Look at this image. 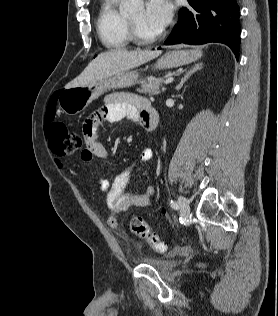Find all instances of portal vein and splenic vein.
Segmentation results:
<instances>
[{
	"label": "portal vein and splenic vein",
	"instance_id": "18ae733b",
	"mask_svg": "<svg viewBox=\"0 0 278 316\" xmlns=\"http://www.w3.org/2000/svg\"><path fill=\"white\" fill-rule=\"evenodd\" d=\"M173 80H174V78L171 77V78L166 79V80L164 81V83H165V84H169V83H172Z\"/></svg>",
	"mask_w": 278,
	"mask_h": 316
}]
</instances>
